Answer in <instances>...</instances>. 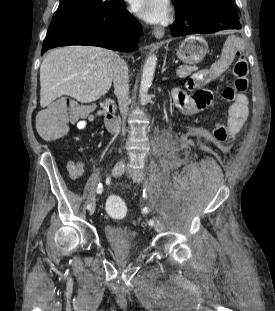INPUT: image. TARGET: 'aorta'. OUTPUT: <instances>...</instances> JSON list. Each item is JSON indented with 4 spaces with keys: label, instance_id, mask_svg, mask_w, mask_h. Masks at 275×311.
Here are the masks:
<instances>
[{
    "label": "aorta",
    "instance_id": "762f6f07",
    "mask_svg": "<svg viewBox=\"0 0 275 311\" xmlns=\"http://www.w3.org/2000/svg\"><path fill=\"white\" fill-rule=\"evenodd\" d=\"M156 61H157L156 56L151 55L145 62L140 84L143 93H146L152 84L156 68Z\"/></svg>",
    "mask_w": 275,
    "mask_h": 311
}]
</instances>
